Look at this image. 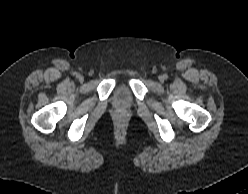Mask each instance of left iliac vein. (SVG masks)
I'll return each instance as SVG.
<instances>
[{
    "label": "left iliac vein",
    "instance_id": "1",
    "mask_svg": "<svg viewBox=\"0 0 248 194\" xmlns=\"http://www.w3.org/2000/svg\"><path fill=\"white\" fill-rule=\"evenodd\" d=\"M163 80H164V78H163V76H161V77H160V81H163Z\"/></svg>",
    "mask_w": 248,
    "mask_h": 194
}]
</instances>
